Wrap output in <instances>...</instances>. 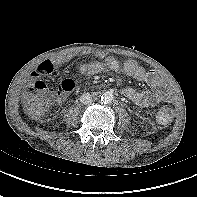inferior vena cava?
I'll list each match as a JSON object with an SVG mask.
<instances>
[{
	"label": "inferior vena cava",
	"mask_w": 197,
	"mask_h": 197,
	"mask_svg": "<svg viewBox=\"0 0 197 197\" xmlns=\"http://www.w3.org/2000/svg\"><path fill=\"white\" fill-rule=\"evenodd\" d=\"M80 102L83 104H89L92 102V96L89 93H83L80 96Z\"/></svg>",
	"instance_id": "obj_1"
}]
</instances>
